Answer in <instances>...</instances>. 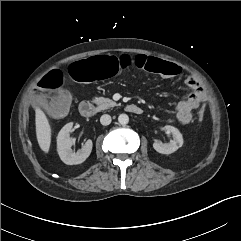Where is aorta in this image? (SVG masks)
I'll return each mask as SVG.
<instances>
[{
	"mask_svg": "<svg viewBox=\"0 0 241 241\" xmlns=\"http://www.w3.org/2000/svg\"><path fill=\"white\" fill-rule=\"evenodd\" d=\"M118 122L121 125H126L129 122V117L126 114H120L118 117Z\"/></svg>",
	"mask_w": 241,
	"mask_h": 241,
	"instance_id": "762f6f07",
	"label": "aorta"
}]
</instances>
